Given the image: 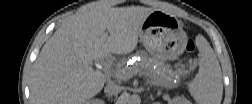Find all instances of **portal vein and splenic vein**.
Segmentation results:
<instances>
[{"label": "portal vein and splenic vein", "instance_id": "obj_1", "mask_svg": "<svg viewBox=\"0 0 252 104\" xmlns=\"http://www.w3.org/2000/svg\"><path fill=\"white\" fill-rule=\"evenodd\" d=\"M134 74H135L134 71L128 70V69H121L118 72V75L120 77H124L125 79H129V78L133 77Z\"/></svg>", "mask_w": 252, "mask_h": 104}]
</instances>
